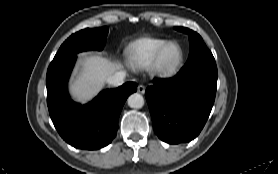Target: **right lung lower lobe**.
Masks as SVG:
<instances>
[{"instance_id": "1", "label": "right lung lower lobe", "mask_w": 278, "mask_h": 174, "mask_svg": "<svg viewBox=\"0 0 278 174\" xmlns=\"http://www.w3.org/2000/svg\"><path fill=\"white\" fill-rule=\"evenodd\" d=\"M76 60L70 55L51 63L46 76L47 104L52 122L60 136L80 149H100L116 136L119 115L127 97L137 90L135 82L101 92L92 102L81 106L67 92V81Z\"/></svg>"}]
</instances>
